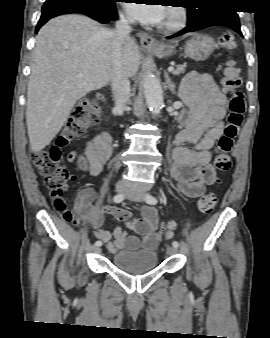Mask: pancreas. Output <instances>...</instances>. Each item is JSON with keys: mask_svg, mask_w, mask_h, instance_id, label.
<instances>
[{"mask_svg": "<svg viewBox=\"0 0 270 338\" xmlns=\"http://www.w3.org/2000/svg\"><path fill=\"white\" fill-rule=\"evenodd\" d=\"M185 68H186V65H180V66H177V68L175 70H173V74L174 75H180L181 73H184L185 72Z\"/></svg>", "mask_w": 270, "mask_h": 338, "instance_id": "1", "label": "pancreas"}]
</instances>
